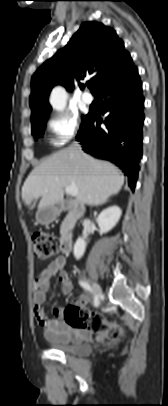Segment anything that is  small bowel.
<instances>
[{"mask_svg":"<svg viewBox=\"0 0 168 406\" xmlns=\"http://www.w3.org/2000/svg\"><path fill=\"white\" fill-rule=\"evenodd\" d=\"M66 258L58 256L55 258L36 278L34 282V313L36 320L45 331V336L48 340L54 342H69L71 340H80L82 338L90 337L91 331L86 330L82 326L70 324L64 319L63 307H55L54 317L49 318L43 308L46 301L47 293L51 287V280L59 274V281L64 295H70L73 291V284L70 280L68 273L65 271ZM89 302V296H78L72 306L82 311ZM97 338L102 340L104 335L98 333Z\"/></svg>","mask_w":168,"mask_h":406,"instance_id":"1","label":"small bowel"}]
</instances>
